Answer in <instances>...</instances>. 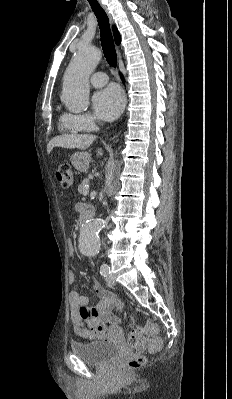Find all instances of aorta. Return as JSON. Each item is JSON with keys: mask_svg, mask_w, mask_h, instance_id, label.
<instances>
[{"mask_svg": "<svg viewBox=\"0 0 232 399\" xmlns=\"http://www.w3.org/2000/svg\"><path fill=\"white\" fill-rule=\"evenodd\" d=\"M101 59L96 47L81 46L70 61L63 81L61 100L72 112L86 110L89 104V77ZM113 170V167H112ZM106 176L108 195L112 194L114 176ZM105 226L103 219H91L80 230L79 249L86 256H95L100 250L99 232Z\"/></svg>", "mask_w": 232, "mask_h": 399, "instance_id": "1", "label": "aorta"}]
</instances>
